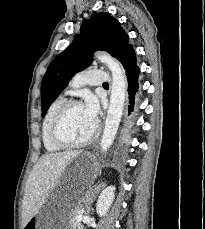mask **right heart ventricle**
Masks as SVG:
<instances>
[{
	"label": "right heart ventricle",
	"instance_id": "obj_1",
	"mask_svg": "<svg viewBox=\"0 0 205 229\" xmlns=\"http://www.w3.org/2000/svg\"><path fill=\"white\" fill-rule=\"evenodd\" d=\"M65 102V100L62 97H59L55 99L48 107L46 114L43 118L42 122V141L44 144L45 149L48 152H55L61 149L60 146L56 145L50 137V129L51 124L53 121V118L57 112V110L60 108V106Z\"/></svg>",
	"mask_w": 205,
	"mask_h": 229
}]
</instances>
